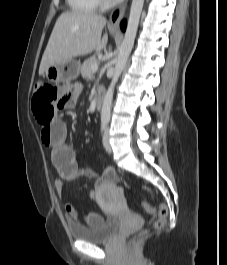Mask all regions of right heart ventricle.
Instances as JSON below:
<instances>
[{"label": "right heart ventricle", "mask_w": 227, "mask_h": 265, "mask_svg": "<svg viewBox=\"0 0 227 265\" xmlns=\"http://www.w3.org/2000/svg\"><path fill=\"white\" fill-rule=\"evenodd\" d=\"M66 2L74 13H91L99 6V0H66Z\"/></svg>", "instance_id": "obj_1"}]
</instances>
